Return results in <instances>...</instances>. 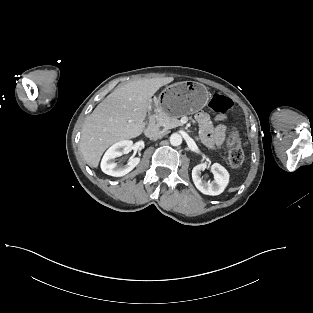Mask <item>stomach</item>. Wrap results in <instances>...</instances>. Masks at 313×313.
I'll use <instances>...</instances> for the list:
<instances>
[{
	"mask_svg": "<svg viewBox=\"0 0 313 313\" xmlns=\"http://www.w3.org/2000/svg\"><path fill=\"white\" fill-rule=\"evenodd\" d=\"M208 100L209 92L203 84L183 81L167 86L159 97L152 99V106L156 111L182 116L201 110Z\"/></svg>",
	"mask_w": 313,
	"mask_h": 313,
	"instance_id": "1",
	"label": "stomach"
}]
</instances>
